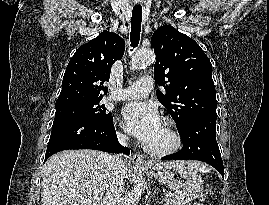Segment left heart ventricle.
<instances>
[{"instance_id": "b2bd125f", "label": "left heart ventricle", "mask_w": 269, "mask_h": 205, "mask_svg": "<svg viewBox=\"0 0 269 205\" xmlns=\"http://www.w3.org/2000/svg\"><path fill=\"white\" fill-rule=\"evenodd\" d=\"M171 142L170 136L168 134L167 128L162 123L157 135L155 138L148 144V146L153 148H163L169 145Z\"/></svg>"}]
</instances>
